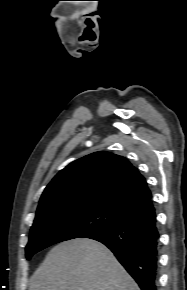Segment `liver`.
I'll return each instance as SVG.
<instances>
[{"label":"liver","mask_w":187,"mask_h":290,"mask_svg":"<svg viewBox=\"0 0 187 290\" xmlns=\"http://www.w3.org/2000/svg\"><path fill=\"white\" fill-rule=\"evenodd\" d=\"M29 290H140L102 243L78 238L53 247L31 277Z\"/></svg>","instance_id":"6515ba94"}]
</instances>
